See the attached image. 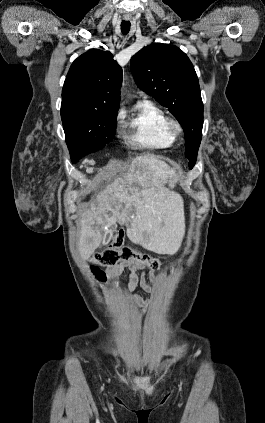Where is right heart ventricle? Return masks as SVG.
Listing matches in <instances>:
<instances>
[{
  "label": "right heart ventricle",
  "instance_id": "1",
  "mask_svg": "<svg viewBox=\"0 0 265 423\" xmlns=\"http://www.w3.org/2000/svg\"><path fill=\"white\" fill-rule=\"evenodd\" d=\"M166 115L161 108L148 100H140L127 123L125 140L133 146L167 149L175 139L165 127Z\"/></svg>",
  "mask_w": 265,
  "mask_h": 423
}]
</instances>
